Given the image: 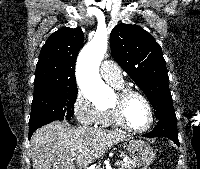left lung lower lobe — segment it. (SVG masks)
I'll list each match as a JSON object with an SVG mask.
<instances>
[{
    "instance_id": "0a47b994",
    "label": "left lung lower lobe",
    "mask_w": 200,
    "mask_h": 169,
    "mask_svg": "<svg viewBox=\"0 0 200 169\" xmlns=\"http://www.w3.org/2000/svg\"><path fill=\"white\" fill-rule=\"evenodd\" d=\"M144 137H167L179 145L177 120L176 119H160L156 127L149 133L142 135Z\"/></svg>"
}]
</instances>
